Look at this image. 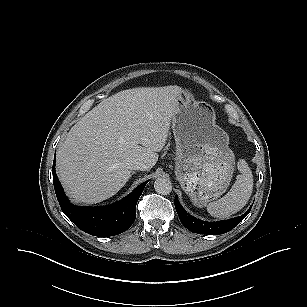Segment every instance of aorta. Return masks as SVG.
<instances>
[{"instance_id": "762f6f07", "label": "aorta", "mask_w": 307, "mask_h": 307, "mask_svg": "<svg viewBox=\"0 0 307 307\" xmlns=\"http://www.w3.org/2000/svg\"><path fill=\"white\" fill-rule=\"evenodd\" d=\"M155 191L161 195H167L172 191V183L168 178L158 177L154 182Z\"/></svg>"}]
</instances>
